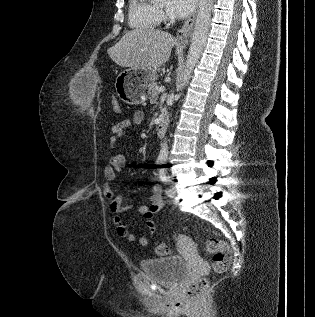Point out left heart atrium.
I'll use <instances>...</instances> for the list:
<instances>
[{
    "label": "left heart atrium",
    "instance_id": "left-heart-atrium-1",
    "mask_svg": "<svg viewBox=\"0 0 315 317\" xmlns=\"http://www.w3.org/2000/svg\"><path fill=\"white\" fill-rule=\"evenodd\" d=\"M197 0H169L167 4L168 13L175 17H185L195 8Z\"/></svg>",
    "mask_w": 315,
    "mask_h": 317
}]
</instances>
